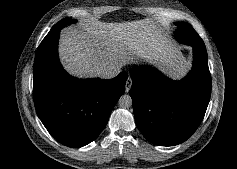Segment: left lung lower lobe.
I'll list each match as a JSON object with an SVG mask.
<instances>
[{"label":"left lung lower lobe","mask_w":237,"mask_h":169,"mask_svg":"<svg viewBox=\"0 0 237 169\" xmlns=\"http://www.w3.org/2000/svg\"><path fill=\"white\" fill-rule=\"evenodd\" d=\"M193 47V67L173 81L151 67L130 70L136 123L152 143L173 146L187 140L200 125L211 94V76L205 45Z\"/></svg>","instance_id":"1"}]
</instances>
